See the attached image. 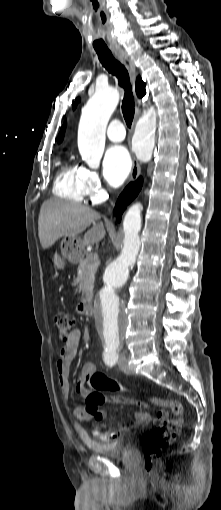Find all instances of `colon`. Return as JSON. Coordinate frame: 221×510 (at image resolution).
Instances as JSON below:
<instances>
[{
    "label": "colon",
    "instance_id": "colon-1",
    "mask_svg": "<svg viewBox=\"0 0 221 510\" xmlns=\"http://www.w3.org/2000/svg\"><path fill=\"white\" fill-rule=\"evenodd\" d=\"M54 324L58 331L59 337L62 341L67 342L72 333L75 331V320L71 314L66 311L59 310L54 314ZM92 392L86 396V407L93 413L94 419L102 420L105 417L103 411L96 409L105 401L102 392H124L126 389L117 381L109 378L102 372H95L90 375L88 379ZM111 401H121L118 398H111ZM130 404H137L141 407H146L145 401H135L132 399L125 400ZM149 401L161 406L163 410L157 412L155 415L156 421H161V424L152 429L144 440V471L146 474L153 472L154 465L157 459L168 449L180 433L183 423V405L176 399H162L158 397H151ZM170 411L173 418L168 419L167 413Z\"/></svg>",
    "mask_w": 221,
    "mask_h": 510
}]
</instances>
